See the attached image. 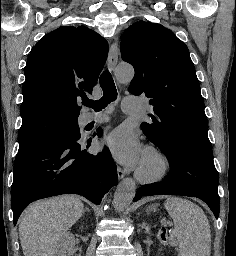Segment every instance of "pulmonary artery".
Instances as JSON below:
<instances>
[{"instance_id":"1","label":"pulmonary artery","mask_w":236,"mask_h":256,"mask_svg":"<svg viewBox=\"0 0 236 256\" xmlns=\"http://www.w3.org/2000/svg\"><path fill=\"white\" fill-rule=\"evenodd\" d=\"M139 96H125V101H123V114L124 115H133L135 109L139 108ZM94 122L97 124H101L107 122V119L102 120H89L87 123Z\"/></svg>"}]
</instances>
